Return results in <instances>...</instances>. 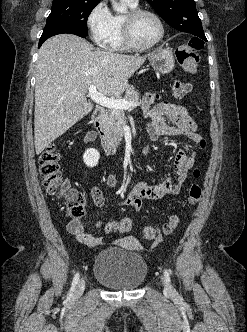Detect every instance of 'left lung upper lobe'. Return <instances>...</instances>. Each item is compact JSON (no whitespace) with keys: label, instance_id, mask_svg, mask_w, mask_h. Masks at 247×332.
<instances>
[{"label":"left lung upper lobe","instance_id":"left-lung-upper-lobe-1","mask_svg":"<svg viewBox=\"0 0 247 332\" xmlns=\"http://www.w3.org/2000/svg\"><path fill=\"white\" fill-rule=\"evenodd\" d=\"M173 28L206 40L194 0H147Z\"/></svg>","mask_w":247,"mask_h":332}]
</instances>
